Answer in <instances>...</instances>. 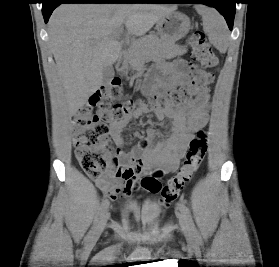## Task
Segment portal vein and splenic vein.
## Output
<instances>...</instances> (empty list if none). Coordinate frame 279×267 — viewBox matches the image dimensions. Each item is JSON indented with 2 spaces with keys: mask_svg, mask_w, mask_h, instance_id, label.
<instances>
[{
  "mask_svg": "<svg viewBox=\"0 0 279 267\" xmlns=\"http://www.w3.org/2000/svg\"><path fill=\"white\" fill-rule=\"evenodd\" d=\"M122 32H123V28H119V29H117L116 32L114 33V36L117 37V36H119L120 34H122Z\"/></svg>",
  "mask_w": 279,
  "mask_h": 267,
  "instance_id": "1",
  "label": "portal vein and splenic vein"
}]
</instances>
